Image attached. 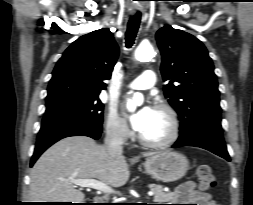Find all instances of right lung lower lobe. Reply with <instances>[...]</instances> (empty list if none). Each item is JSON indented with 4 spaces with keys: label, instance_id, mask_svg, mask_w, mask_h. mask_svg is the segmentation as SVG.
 <instances>
[{
    "label": "right lung lower lobe",
    "instance_id": "right-lung-lower-lobe-1",
    "mask_svg": "<svg viewBox=\"0 0 253 205\" xmlns=\"http://www.w3.org/2000/svg\"><path fill=\"white\" fill-rule=\"evenodd\" d=\"M101 133L102 126L92 124L71 121L42 123L30 166H33L35 161L48 147L62 138L80 135L98 139Z\"/></svg>",
    "mask_w": 253,
    "mask_h": 205
}]
</instances>
